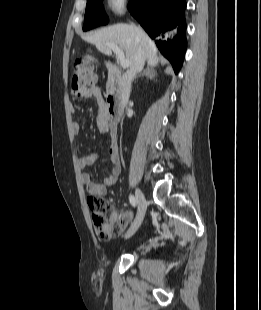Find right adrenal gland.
Here are the masks:
<instances>
[{
	"instance_id": "2a0ac1e0",
	"label": "right adrenal gland",
	"mask_w": 261,
	"mask_h": 310,
	"mask_svg": "<svg viewBox=\"0 0 261 310\" xmlns=\"http://www.w3.org/2000/svg\"><path fill=\"white\" fill-rule=\"evenodd\" d=\"M140 76H145L149 79H155L156 72L154 71L153 67H151L150 65H147V67L142 72H140L137 77H140ZM137 77H135V79Z\"/></svg>"
}]
</instances>
